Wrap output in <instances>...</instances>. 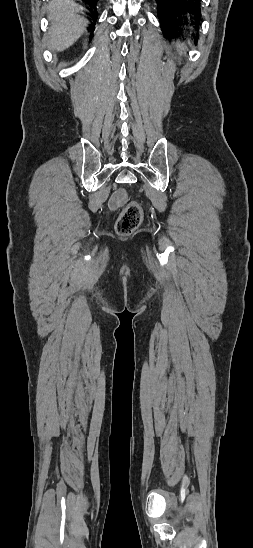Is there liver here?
<instances>
[{
  "label": "liver",
  "mask_w": 253,
  "mask_h": 548,
  "mask_svg": "<svg viewBox=\"0 0 253 548\" xmlns=\"http://www.w3.org/2000/svg\"><path fill=\"white\" fill-rule=\"evenodd\" d=\"M82 7L72 0H52L49 4L48 18L51 21L49 30V48L53 51H64L73 45L84 33L89 23L78 15Z\"/></svg>",
  "instance_id": "liver-1"
}]
</instances>
